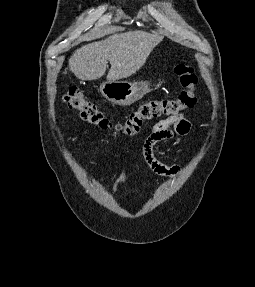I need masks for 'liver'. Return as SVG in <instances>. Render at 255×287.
<instances>
[{"mask_svg": "<svg viewBox=\"0 0 255 287\" xmlns=\"http://www.w3.org/2000/svg\"><path fill=\"white\" fill-rule=\"evenodd\" d=\"M163 38L142 30L113 34L106 40L92 42L76 50L69 60V68L78 80H99L104 76L109 60L108 82L123 80L144 66L153 48Z\"/></svg>", "mask_w": 255, "mask_h": 287, "instance_id": "1", "label": "liver"}]
</instances>
